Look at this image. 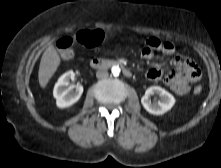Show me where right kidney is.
I'll return each mask as SVG.
<instances>
[{
	"mask_svg": "<svg viewBox=\"0 0 221 168\" xmlns=\"http://www.w3.org/2000/svg\"><path fill=\"white\" fill-rule=\"evenodd\" d=\"M75 73L68 71L64 73L55 84L53 96L56 99V105L59 108H68L75 104L83 93L82 85H70Z\"/></svg>",
	"mask_w": 221,
	"mask_h": 168,
	"instance_id": "right-kidney-1",
	"label": "right kidney"
}]
</instances>
